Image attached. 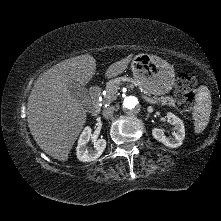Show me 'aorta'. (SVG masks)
<instances>
[{
  "mask_svg": "<svg viewBox=\"0 0 221 221\" xmlns=\"http://www.w3.org/2000/svg\"><path fill=\"white\" fill-rule=\"evenodd\" d=\"M122 107L127 114H136L140 110L141 105L136 96L130 95L125 97Z\"/></svg>",
  "mask_w": 221,
  "mask_h": 221,
  "instance_id": "obj_1",
  "label": "aorta"
}]
</instances>
